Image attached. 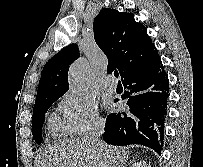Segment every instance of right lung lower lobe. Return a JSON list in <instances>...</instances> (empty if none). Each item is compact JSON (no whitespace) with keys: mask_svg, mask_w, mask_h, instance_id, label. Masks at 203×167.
<instances>
[{"mask_svg":"<svg viewBox=\"0 0 203 167\" xmlns=\"http://www.w3.org/2000/svg\"><path fill=\"white\" fill-rule=\"evenodd\" d=\"M129 111L110 114L104 141L112 145L141 144L160 153L164 140L169 81L160 57L122 79ZM118 99L115 100L117 102Z\"/></svg>","mask_w":203,"mask_h":167,"instance_id":"98d812e1","label":"right lung lower lobe"}]
</instances>
